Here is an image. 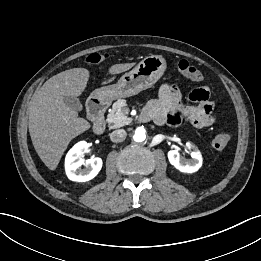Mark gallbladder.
Masks as SVG:
<instances>
[{
  "mask_svg": "<svg viewBox=\"0 0 261 261\" xmlns=\"http://www.w3.org/2000/svg\"><path fill=\"white\" fill-rule=\"evenodd\" d=\"M64 103L66 106L76 111H81L83 109V105L77 97L64 96Z\"/></svg>",
  "mask_w": 261,
  "mask_h": 261,
  "instance_id": "1",
  "label": "gallbladder"
}]
</instances>
